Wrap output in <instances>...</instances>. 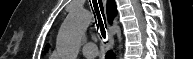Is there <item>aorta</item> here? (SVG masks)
Here are the masks:
<instances>
[{
	"label": "aorta",
	"mask_w": 193,
	"mask_h": 59,
	"mask_svg": "<svg viewBox=\"0 0 193 59\" xmlns=\"http://www.w3.org/2000/svg\"><path fill=\"white\" fill-rule=\"evenodd\" d=\"M91 13L84 9H75L63 22L58 37L57 48L67 59H75L78 55V43L91 23Z\"/></svg>",
	"instance_id": "762f6f07"
}]
</instances>
